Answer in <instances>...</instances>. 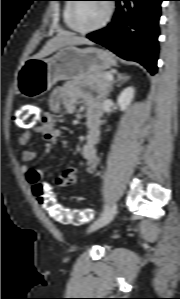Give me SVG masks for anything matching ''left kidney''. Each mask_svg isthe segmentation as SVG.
Returning <instances> with one entry per match:
<instances>
[{
	"label": "left kidney",
	"instance_id": "1",
	"mask_svg": "<svg viewBox=\"0 0 180 299\" xmlns=\"http://www.w3.org/2000/svg\"><path fill=\"white\" fill-rule=\"evenodd\" d=\"M135 95V90L133 87H127L118 96V105L122 111L126 110L127 107L132 102Z\"/></svg>",
	"mask_w": 180,
	"mask_h": 299
}]
</instances>
